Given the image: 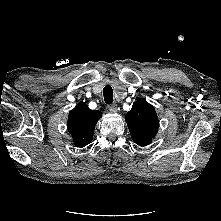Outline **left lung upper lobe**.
<instances>
[{
    "mask_svg": "<svg viewBox=\"0 0 221 221\" xmlns=\"http://www.w3.org/2000/svg\"><path fill=\"white\" fill-rule=\"evenodd\" d=\"M125 120L133 141L139 146H146L156 136L159 120L156 111L146 100H138L126 114Z\"/></svg>",
    "mask_w": 221,
    "mask_h": 221,
    "instance_id": "1",
    "label": "left lung upper lobe"
}]
</instances>
